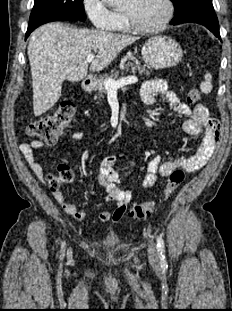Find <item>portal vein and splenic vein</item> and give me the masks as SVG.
<instances>
[{"label": "portal vein and splenic vein", "instance_id": "1", "mask_svg": "<svg viewBox=\"0 0 232 311\" xmlns=\"http://www.w3.org/2000/svg\"><path fill=\"white\" fill-rule=\"evenodd\" d=\"M94 57L95 55L93 53H90L88 56H87V62L90 63L94 60ZM138 82V79L137 77L135 76H128V77H124V78H121L119 80H113V79H107L105 80L104 84H105V87L107 90H116L120 87H123V86H126V85H129V84H135Z\"/></svg>", "mask_w": 232, "mask_h": 311}]
</instances>
